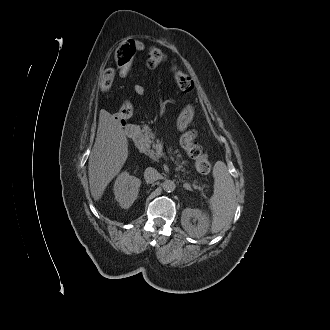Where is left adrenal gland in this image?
Instances as JSON below:
<instances>
[{"instance_id":"1","label":"left adrenal gland","mask_w":330,"mask_h":330,"mask_svg":"<svg viewBox=\"0 0 330 330\" xmlns=\"http://www.w3.org/2000/svg\"><path fill=\"white\" fill-rule=\"evenodd\" d=\"M183 187H184L185 189H187V190L192 191V188H191L190 186H188L186 183L183 185Z\"/></svg>"}]
</instances>
